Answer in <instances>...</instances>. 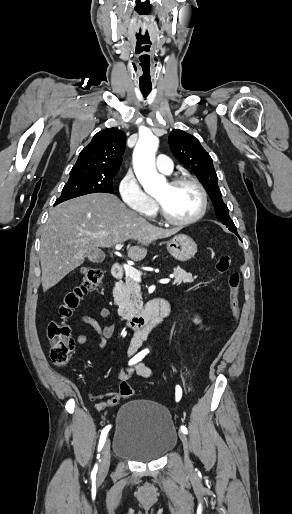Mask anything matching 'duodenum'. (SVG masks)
I'll list each match as a JSON object with an SVG mask.
<instances>
[{"instance_id":"410a0bca","label":"duodenum","mask_w":292,"mask_h":514,"mask_svg":"<svg viewBox=\"0 0 292 514\" xmlns=\"http://www.w3.org/2000/svg\"><path fill=\"white\" fill-rule=\"evenodd\" d=\"M112 275L116 280H121L125 271L120 264H114ZM171 306L164 297H156L148 301L140 312L122 321L123 327L132 332H149L162 324L170 315Z\"/></svg>"}]
</instances>
